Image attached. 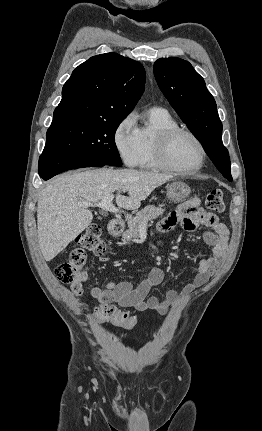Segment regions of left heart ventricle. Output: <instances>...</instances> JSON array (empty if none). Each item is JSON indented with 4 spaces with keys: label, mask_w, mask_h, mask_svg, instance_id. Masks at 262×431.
<instances>
[{
    "label": "left heart ventricle",
    "mask_w": 262,
    "mask_h": 431,
    "mask_svg": "<svg viewBox=\"0 0 262 431\" xmlns=\"http://www.w3.org/2000/svg\"><path fill=\"white\" fill-rule=\"evenodd\" d=\"M171 162L184 170H192L200 162V150L195 141L187 135L174 137L169 147Z\"/></svg>",
    "instance_id": "left-heart-ventricle-1"
}]
</instances>
